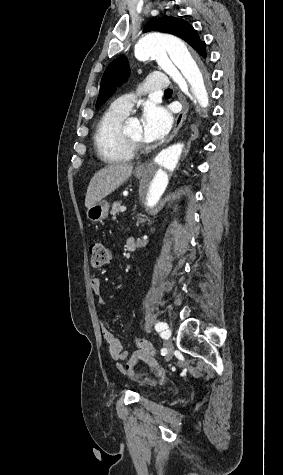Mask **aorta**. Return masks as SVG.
I'll return each instance as SVG.
<instances>
[{
  "instance_id": "1",
  "label": "aorta",
  "mask_w": 283,
  "mask_h": 475,
  "mask_svg": "<svg viewBox=\"0 0 283 475\" xmlns=\"http://www.w3.org/2000/svg\"><path fill=\"white\" fill-rule=\"evenodd\" d=\"M138 60L156 59L180 89L192 96L202 108L209 104L207 72L197 63L184 42L166 34L149 33L135 46ZM131 125V123H130ZM197 132L163 149L148 165L140 179L137 207L143 217L157 212L171 183L179 175L196 148Z\"/></svg>"
}]
</instances>
